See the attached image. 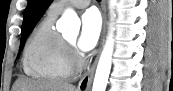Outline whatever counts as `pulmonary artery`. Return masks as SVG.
<instances>
[{"label": "pulmonary artery", "mask_w": 173, "mask_h": 91, "mask_svg": "<svg viewBox=\"0 0 173 91\" xmlns=\"http://www.w3.org/2000/svg\"><path fill=\"white\" fill-rule=\"evenodd\" d=\"M90 0H72V1H57L51 6L50 11L54 14L61 13L65 7L71 6L76 8H85L89 5Z\"/></svg>", "instance_id": "pulmonary-artery-1"}]
</instances>
